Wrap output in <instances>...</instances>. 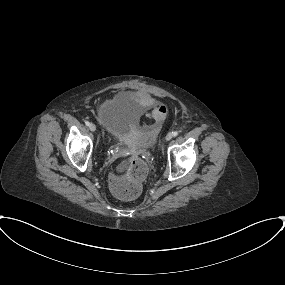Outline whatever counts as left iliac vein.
Instances as JSON below:
<instances>
[{
	"instance_id": "obj_1",
	"label": "left iliac vein",
	"mask_w": 285,
	"mask_h": 285,
	"mask_svg": "<svg viewBox=\"0 0 285 285\" xmlns=\"http://www.w3.org/2000/svg\"><path fill=\"white\" fill-rule=\"evenodd\" d=\"M172 137H173V134L170 132L166 135L165 140L170 141L172 139Z\"/></svg>"
}]
</instances>
